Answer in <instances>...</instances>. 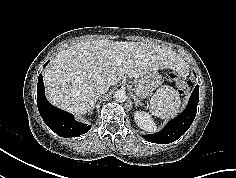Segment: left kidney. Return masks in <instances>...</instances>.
<instances>
[{
    "label": "left kidney",
    "instance_id": "obj_1",
    "mask_svg": "<svg viewBox=\"0 0 236 178\" xmlns=\"http://www.w3.org/2000/svg\"><path fill=\"white\" fill-rule=\"evenodd\" d=\"M134 119L136 124L143 130H146L148 132H155L156 131V125L152 119V117L144 112V111H136L134 113Z\"/></svg>",
    "mask_w": 236,
    "mask_h": 178
}]
</instances>
